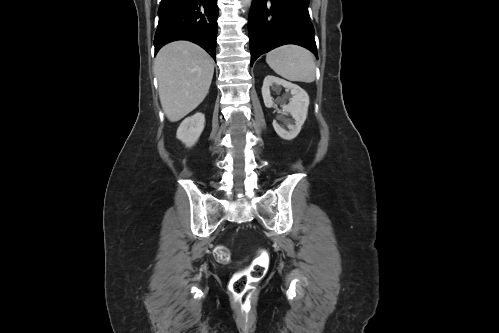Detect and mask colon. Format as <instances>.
<instances>
[{"label":"colon","mask_w":499,"mask_h":333,"mask_svg":"<svg viewBox=\"0 0 499 333\" xmlns=\"http://www.w3.org/2000/svg\"><path fill=\"white\" fill-rule=\"evenodd\" d=\"M214 257L218 262L227 263L230 261L231 253L227 247L218 245L214 249ZM266 267L267 257L262 255L248 270L238 273L233 278L231 291L236 303L242 310H249L252 292L251 282L260 279L264 275Z\"/></svg>","instance_id":"5ec220e1"}]
</instances>
